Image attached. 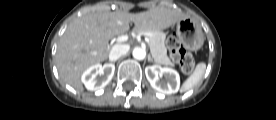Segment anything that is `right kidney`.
Instances as JSON below:
<instances>
[{
    "mask_svg": "<svg viewBox=\"0 0 276 120\" xmlns=\"http://www.w3.org/2000/svg\"><path fill=\"white\" fill-rule=\"evenodd\" d=\"M115 66L112 63L95 64L86 69L82 74V82L90 91H98L104 88L112 79Z\"/></svg>",
    "mask_w": 276,
    "mask_h": 120,
    "instance_id": "obj_1",
    "label": "right kidney"
}]
</instances>
